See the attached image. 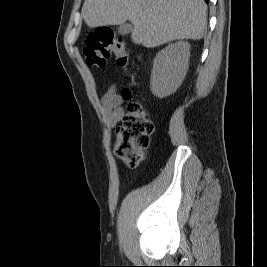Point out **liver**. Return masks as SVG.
I'll list each match as a JSON object with an SVG mask.
<instances>
[{
	"mask_svg": "<svg viewBox=\"0 0 267 267\" xmlns=\"http://www.w3.org/2000/svg\"><path fill=\"white\" fill-rule=\"evenodd\" d=\"M203 0H85L82 16L88 27L133 24L135 44L154 48L174 40H200L207 24Z\"/></svg>",
	"mask_w": 267,
	"mask_h": 267,
	"instance_id": "1",
	"label": "liver"
}]
</instances>
